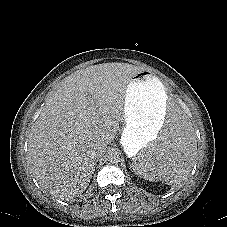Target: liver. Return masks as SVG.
<instances>
[{
  "instance_id": "1",
  "label": "liver",
  "mask_w": 227,
  "mask_h": 227,
  "mask_svg": "<svg viewBox=\"0 0 227 227\" xmlns=\"http://www.w3.org/2000/svg\"><path fill=\"white\" fill-rule=\"evenodd\" d=\"M141 70L126 63L89 66L50 95L28 140V162L42 189L65 200L86 190L97 161L94 147L114 140L131 78Z\"/></svg>"
}]
</instances>
